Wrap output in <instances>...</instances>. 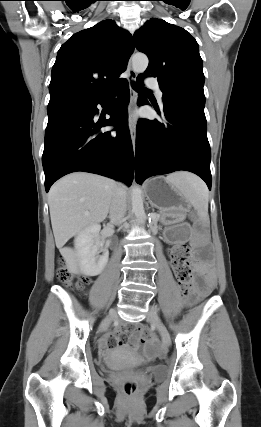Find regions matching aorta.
<instances>
[{
	"instance_id": "762f6f07",
	"label": "aorta",
	"mask_w": 261,
	"mask_h": 427,
	"mask_svg": "<svg viewBox=\"0 0 261 427\" xmlns=\"http://www.w3.org/2000/svg\"><path fill=\"white\" fill-rule=\"evenodd\" d=\"M149 64L148 57L142 53H136L132 57V67L135 72H144ZM132 211L139 222L144 223L147 219L143 206L142 191L138 186L132 188L131 194Z\"/></svg>"
}]
</instances>
